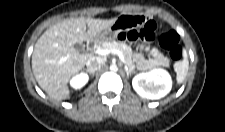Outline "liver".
Instances as JSON below:
<instances>
[{"label":"liver","instance_id":"liver-1","mask_svg":"<svg viewBox=\"0 0 225 132\" xmlns=\"http://www.w3.org/2000/svg\"><path fill=\"white\" fill-rule=\"evenodd\" d=\"M116 21L117 18L79 17L66 19L47 29L37 40L32 54V71L39 86L51 98H68L70 78L81 71L92 57L80 53L75 44L95 39Z\"/></svg>","mask_w":225,"mask_h":132}]
</instances>
